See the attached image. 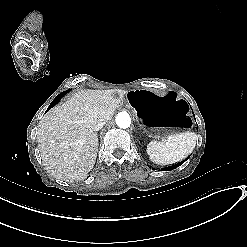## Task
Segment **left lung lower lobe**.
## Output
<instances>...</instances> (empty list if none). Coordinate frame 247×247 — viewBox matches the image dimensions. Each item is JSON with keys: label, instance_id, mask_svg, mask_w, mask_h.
I'll list each match as a JSON object with an SVG mask.
<instances>
[{"label": "left lung lower lobe", "instance_id": "1", "mask_svg": "<svg viewBox=\"0 0 247 247\" xmlns=\"http://www.w3.org/2000/svg\"><path fill=\"white\" fill-rule=\"evenodd\" d=\"M189 158V157H188ZM188 158H186L184 161L178 163V164H175V165H172L170 167H166V168H163L161 169L162 171H169V170H173L175 168H177L178 166H180L181 164H183Z\"/></svg>", "mask_w": 247, "mask_h": 247}]
</instances>
